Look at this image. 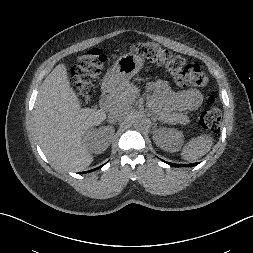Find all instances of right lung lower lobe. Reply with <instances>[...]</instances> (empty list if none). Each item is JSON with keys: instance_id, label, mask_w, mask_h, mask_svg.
<instances>
[{"instance_id": "98d812e1", "label": "right lung lower lobe", "mask_w": 253, "mask_h": 253, "mask_svg": "<svg viewBox=\"0 0 253 253\" xmlns=\"http://www.w3.org/2000/svg\"><path fill=\"white\" fill-rule=\"evenodd\" d=\"M102 166H103V165H102ZM102 166H100V167H98V168H95V169H93V170H90V171H88V172H91V171H94V170L100 169Z\"/></svg>"}]
</instances>
